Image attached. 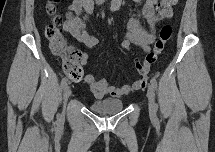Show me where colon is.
Listing matches in <instances>:
<instances>
[{
  "mask_svg": "<svg viewBox=\"0 0 215 152\" xmlns=\"http://www.w3.org/2000/svg\"><path fill=\"white\" fill-rule=\"evenodd\" d=\"M174 2V0H162L159 3L157 13L160 19L171 16ZM59 3L60 0H51L46 5V12L52 17V22L46 28L45 34L51 51L61 56L64 60V73L72 80H77L83 75L81 66L83 55L80 51L70 46L62 34L61 18L56 13ZM171 35V27L169 25H164L161 28L159 37L154 43L152 50L146 54L142 63H136V69L140 74H147L150 66L158 60L166 43L170 40Z\"/></svg>",
  "mask_w": 215,
  "mask_h": 152,
  "instance_id": "5ec220e1",
  "label": "colon"
}]
</instances>
